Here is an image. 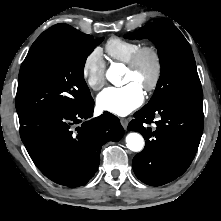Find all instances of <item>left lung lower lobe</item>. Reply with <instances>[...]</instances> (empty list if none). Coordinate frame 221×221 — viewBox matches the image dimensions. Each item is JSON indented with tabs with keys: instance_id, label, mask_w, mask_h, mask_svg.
I'll use <instances>...</instances> for the list:
<instances>
[{
	"instance_id": "1",
	"label": "left lung lower lobe",
	"mask_w": 221,
	"mask_h": 221,
	"mask_svg": "<svg viewBox=\"0 0 221 221\" xmlns=\"http://www.w3.org/2000/svg\"><path fill=\"white\" fill-rule=\"evenodd\" d=\"M128 129L140 132L145 148L133 158L142 182L160 186L182 175L190 166L203 133L202 103L162 98L134 114ZM154 119L155 128L148 126Z\"/></svg>"
}]
</instances>
